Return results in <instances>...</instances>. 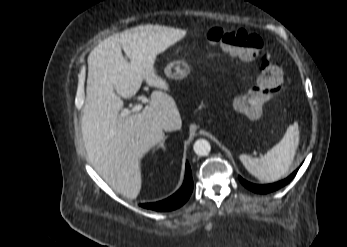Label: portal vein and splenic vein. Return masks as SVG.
<instances>
[{
    "mask_svg": "<svg viewBox=\"0 0 347 247\" xmlns=\"http://www.w3.org/2000/svg\"><path fill=\"white\" fill-rule=\"evenodd\" d=\"M140 100L142 101V104L135 105V106L131 109L132 112H138V111H140V110L143 108V104H145V103L147 102V98H146L145 96L141 97ZM128 113H129V111L121 113V114L119 115V117H118L119 120H121L123 117L127 116Z\"/></svg>",
    "mask_w": 347,
    "mask_h": 247,
    "instance_id": "1",
    "label": "portal vein and splenic vein"
}]
</instances>
